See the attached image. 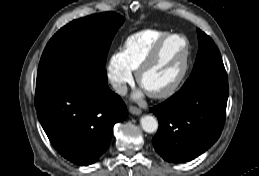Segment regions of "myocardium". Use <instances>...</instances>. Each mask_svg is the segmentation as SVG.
<instances>
[{"label": "myocardium", "mask_w": 259, "mask_h": 176, "mask_svg": "<svg viewBox=\"0 0 259 176\" xmlns=\"http://www.w3.org/2000/svg\"><path fill=\"white\" fill-rule=\"evenodd\" d=\"M178 37L181 38L184 43H185V50H184V57H183V63L181 70L177 77L173 80L171 84L166 86L165 88L158 90V91H146L147 94L155 99H163L166 97H169L173 95L180 85L182 84L188 69H189V64H190V58H191V43L189 39L179 33H168L167 35L163 36L152 48L148 56L144 59V61L141 63L139 68L136 71V79L138 84L142 87V78L145 72L155 63V61L158 59L160 56L165 44L167 43L168 40L171 38Z\"/></svg>", "instance_id": "obj_1"}]
</instances>
